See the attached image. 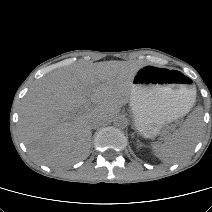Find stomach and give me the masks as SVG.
Here are the masks:
<instances>
[{
	"mask_svg": "<svg viewBox=\"0 0 212 212\" xmlns=\"http://www.w3.org/2000/svg\"><path fill=\"white\" fill-rule=\"evenodd\" d=\"M190 82L181 72L151 64L137 70L130 106L139 134L153 138L164 125L189 112L196 98V89Z\"/></svg>",
	"mask_w": 212,
	"mask_h": 212,
	"instance_id": "0dacf381",
	"label": "stomach"
}]
</instances>
